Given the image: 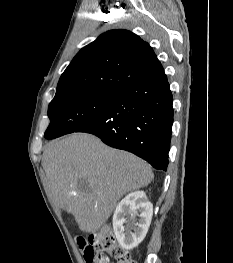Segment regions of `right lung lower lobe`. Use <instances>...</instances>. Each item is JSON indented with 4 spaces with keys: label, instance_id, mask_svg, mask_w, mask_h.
I'll use <instances>...</instances> for the list:
<instances>
[{
    "label": "right lung lower lobe",
    "instance_id": "obj_1",
    "mask_svg": "<svg viewBox=\"0 0 233 263\" xmlns=\"http://www.w3.org/2000/svg\"><path fill=\"white\" fill-rule=\"evenodd\" d=\"M173 97L165 73L119 91L98 117L76 132L98 136L107 145L167 170Z\"/></svg>",
    "mask_w": 233,
    "mask_h": 263
}]
</instances>
